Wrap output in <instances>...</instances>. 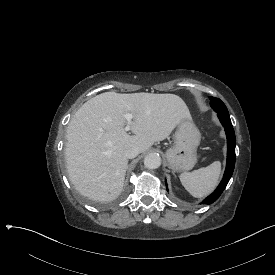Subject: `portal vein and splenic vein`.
Segmentation results:
<instances>
[{
  "mask_svg": "<svg viewBox=\"0 0 275 275\" xmlns=\"http://www.w3.org/2000/svg\"><path fill=\"white\" fill-rule=\"evenodd\" d=\"M135 116L133 114H129V113H124V118L126 120H128L129 122H131V120L134 118ZM126 132H128L130 130V127L129 126H126L125 129H124Z\"/></svg>",
  "mask_w": 275,
  "mask_h": 275,
  "instance_id": "portal-vein-and-splenic-vein-1",
  "label": "portal vein and splenic vein"
}]
</instances>
